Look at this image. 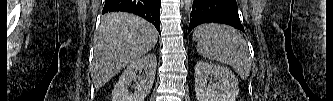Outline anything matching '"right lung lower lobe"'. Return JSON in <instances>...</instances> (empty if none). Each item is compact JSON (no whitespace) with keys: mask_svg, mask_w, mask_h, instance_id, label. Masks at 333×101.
<instances>
[{"mask_svg":"<svg viewBox=\"0 0 333 101\" xmlns=\"http://www.w3.org/2000/svg\"><path fill=\"white\" fill-rule=\"evenodd\" d=\"M161 0H106L102 14L114 11L131 12L151 22L160 33Z\"/></svg>","mask_w":333,"mask_h":101,"instance_id":"98d812e1","label":"right lung lower lobe"}]
</instances>
